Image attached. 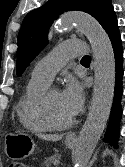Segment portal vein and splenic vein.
Listing matches in <instances>:
<instances>
[{"label":"portal vein and splenic vein","instance_id":"obj_1","mask_svg":"<svg viewBox=\"0 0 125 167\" xmlns=\"http://www.w3.org/2000/svg\"><path fill=\"white\" fill-rule=\"evenodd\" d=\"M59 163H60L59 160H56V161L53 162V164H54L55 166H57Z\"/></svg>","mask_w":125,"mask_h":167}]
</instances>
